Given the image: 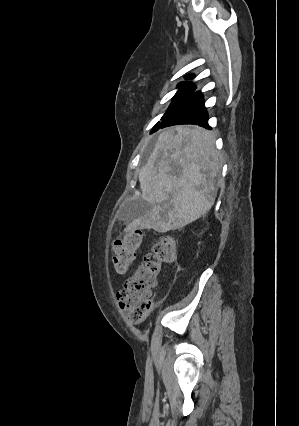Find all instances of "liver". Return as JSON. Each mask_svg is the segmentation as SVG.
<instances>
[{"mask_svg": "<svg viewBox=\"0 0 299 426\" xmlns=\"http://www.w3.org/2000/svg\"><path fill=\"white\" fill-rule=\"evenodd\" d=\"M214 141L212 133L201 127L176 126L159 134L147 163L139 171L141 198L150 210L134 219L127 230H176L211 209L222 167ZM171 165L181 169L178 176L171 173Z\"/></svg>", "mask_w": 299, "mask_h": 426, "instance_id": "6515ba94", "label": "liver"}]
</instances>
